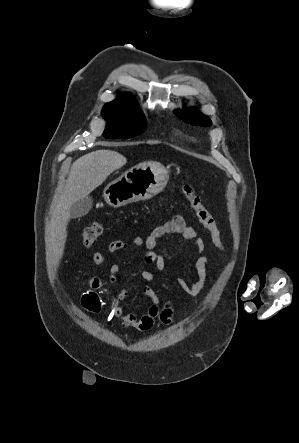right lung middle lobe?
<instances>
[{"label":"right lung middle lobe","instance_id":"right-lung-middle-lobe-1","mask_svg":"<svg viewBox=\"0 0 299 443\" xmlns=\"http://www.w3.org/2000/svg\"><path fill=\"white\" fill-rule=\"evenodd\" d=\"M102 116L107 120L103 136L128 139L141 134L146 126V119L139 108L119 104H106Z\"/></svg>","mask_w":299,"mask_h":443}]
</instances>
